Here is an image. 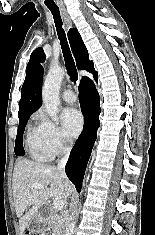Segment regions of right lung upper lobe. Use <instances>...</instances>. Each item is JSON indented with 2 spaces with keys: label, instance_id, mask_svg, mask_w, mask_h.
I'll return each mask as SVG.
<instances>
[{
  "label": "right lung upper lobe",
  "instance_id": "obj_1",
  "mask_svg": "<svg viewBox=\"0 0 155 235\" xmlns=\"http://www.w3.org/2000/svg\"><path fill=\"white\" fill-rule=\"evenodd\" d=\"M69 42L74 54L78 69L87 70L94 75L97 72L94 64L89 60L88 51L82 41V38L76 28H71L68 32ZM43 78V68L35 63L26 71V78L21 89V99L19 101V119L31 115L42 105L41 86ZM88 77H83V79ZM81 80V81H82Z\"/></svg>",
  "mask_w": 155,
  "mask_h": 235
}]
</instances>
